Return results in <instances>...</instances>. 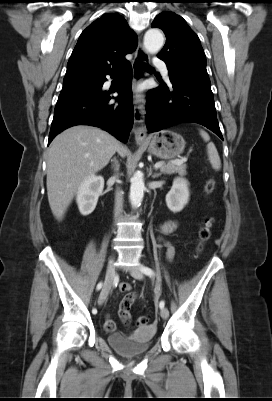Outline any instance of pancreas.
I'll use <instances>...</instances> for the list:
<instances>
[{
	"mask_svg": "<svg viewBox=\"0 0 272 401\" xmlns=\"http://www.w3.org/2000/svg\"><path fill=\"white\" fill-rule=\"evenodd\" d=\"M186 168H187V165L184 163H181V164L162 163V166L160 167V171L162 174L178 173L179 175H185Z\"/></svg>",
	"mask_w": 272,
	"mask_h": 401,
	"instance_id": "obj_1",
	"label": "pancreas"
}]
</instances>
